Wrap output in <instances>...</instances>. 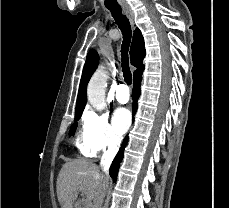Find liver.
Segmentation results:
<instances>
[{
	"mask_svg": "<svg viewBox=\"0 0 229 208\" xmlns=\"http://www.w3.org/2000/svg\"><path fill=\"white\" fill-rule=\"evenodd\" d=\"M108 180L100 176L98 166L90 160H71L61 168L57 180V196L61 208H81L80 200L73 206L79 192L86 196L84 202L93 200L90 208H101Z\"/></svg>",
	"mask_w": 229,
	"mask_h": 208,
	"instance_id": "obj_1",
	"label": "liver"
}]
</instances>
